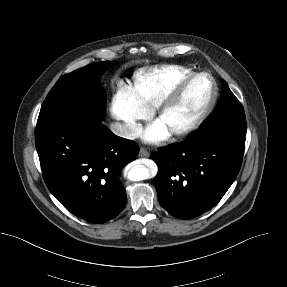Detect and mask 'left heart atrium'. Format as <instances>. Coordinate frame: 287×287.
Masks as SVG:
<instances>
[{"instance_id": "39dd6f15", "label": "left heart atrium", "mask_w": 287, "mask_h": 287, "mask_svg": "<svg viewBox=\"0 0 287 287\" xmlns=\"http://www.w3.org/2000/svg\"><path fill=\"white\" fill-rule=\"evenodd\" d=\"M166 136H167V129L160 122H155L152 125H150L144 134L145 140L149 142L160 141L164 139Z\"/></svg>"}]
</instances>
